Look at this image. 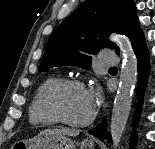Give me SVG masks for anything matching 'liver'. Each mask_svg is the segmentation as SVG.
<instances>
[{
  "label": "liver",
  "mask_w": 155,
  "mask_h": 149,
  "mask_svg": "<svg viewBox=\"0 0 155 149\" xmlns=\"http://www.w3.org/2000/svg\"><path fill=\"white\" fill-rule=\"evenodd\" d=\"M41 133L61 134V135L75 137V136L79 135L80 131L75 130V129L63 128V129H46V130L42 131Z\"/></svg>",
  "instance_id": "obj_1"
}]
</instances>
